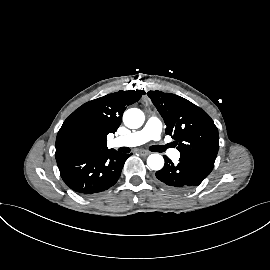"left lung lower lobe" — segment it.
<instances>
[{
	"instance_id": "0a47b994",
	"label": "left lung lower lobe",
	"mask_w": 270,
	"mask_h": 270,
	"mask_svg": "<svg viewBox=\"0 0 270 270\" xmlns=\"http://www.w3.org/2000/svg\"><path fill=\"white\" fill-rule=\"evenodd\" d=\"M164 159L165 165L156 172V177L172 190H190L198 186L212 171V169L191 159L180 157L177 165L166 156Z\"/></svg>"
}]
</instances>
